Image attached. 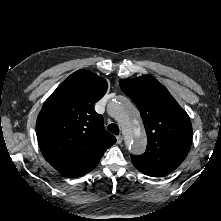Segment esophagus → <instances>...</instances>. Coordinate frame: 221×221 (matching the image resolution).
<instances>
[{
  "label": "esophagus",
  "mask_w": 221,
  "mask_h": 221,
  "mask_svg": "<svg viewBox=\"0 0 221 221\" xmlns=\"http://www.w3.org/2000/svg\"><path fill=\"white\" fill-rule=\"evenodd\" d=\"M123 141L122 135L117 136V144H121Z\"/></svg>",
  "instance_id": "esophagus-1"
}]
</instances>
